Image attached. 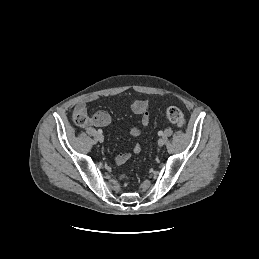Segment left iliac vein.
I'll use <instances>...</instances> for the list:
<instances>
[{"mask_svg":"<svg viewBox=\"0 0 259 259\" xmlns=\"http://www.w3.org/2000/svg\"><path fill=\"white\" fill-rule=\"evenodd\" d=\"M164 143H165L164 139L160 138V139L158 140V145H159L160 147L163 146Z\"/></svg>","mask_w":259,"mask_h":259,"instance_id":"1","label":"left iliac vein"}]
</instances>
